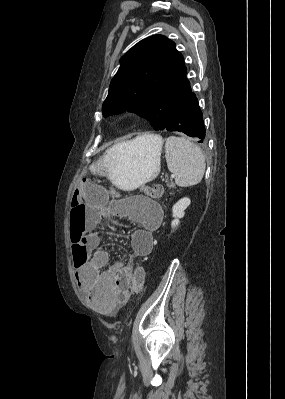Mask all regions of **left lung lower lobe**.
Returning a JSON list of instances; mask_svg holds the SVG:
<instances>
[{
  "label": "left lung lower lobe",
  "instance_id": "obj_1",
  "mask_svg": "<svg viewBox=\"0 0 285 399\" xmlns=\"http://www.w3.org/2000/svg\"><path fill=\"white\" fill-rule=\"evenodd\" d=\"M162 130L182 132L203 142L205 127L197 97L188 83L175 100Z\"/></svg>",
  "mask_w": 285,
  "mask_h": 399
}]
</instances>
